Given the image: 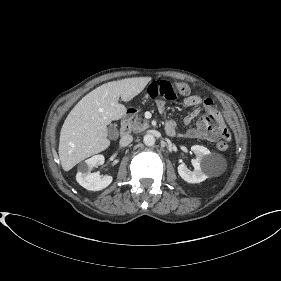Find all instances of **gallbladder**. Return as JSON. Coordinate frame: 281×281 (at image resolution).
<instances>
[{"label": "gallbladder", "mask_w": 281, "mask_h": 281, "mask_svg": "<svg viewBox=\"0 0 281 281\" xmlns=\"http://www.w3.org/2000/svg\"><path fill=\"white\" fill-rule=\"evenodd\" d=\"M108 132L110 135H115L116 133V128L113 127V126H110L109 129H108Z\"/></svg>", "instance_id": "bac80fb5"}]
</instances>
